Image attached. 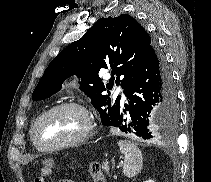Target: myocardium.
<instances>
[{
	"mask_svg": "<svg viewBox=\"0 0 211 182\" xmlns=\"http://www.w3.org/2000/svg\"><path fill=\"white\" fill-rule=\"evenodd\" d=\"M63 108H73V109H76V110L80 111L81 113H83V115L86 118V126H85L84 130L79 135H77L73 138H70L68 140H65V141H62V142H59V143H56L53 145H49V146H41L38 143V140L36 138V130H37L38 125L45 117H47L48 115H50L51 113H53L59 109H63ZM93 129H94L93 116L84 105L77 103V102H62V103L52 106L51 108H49L48 110L43 112L35 120L32 128H31L30 136H31V139L37 149L42 150V151H50V150H55V149H58L61 147L76 145V144H79V143L85 141L92 134Z\"/></svg>",
	"mask_w": 211,
	"mask_h": 182,
	"instance_id": "obj_1",
	"label": "myocardium"
}]
</instances>
